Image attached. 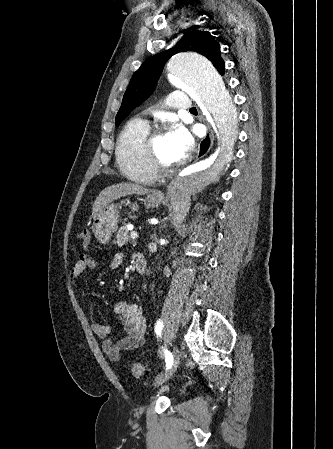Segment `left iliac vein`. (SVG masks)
Masks as SVG:
<instances>
[{"label":"left iliac vein","instance_id":"left-iliac-vein-1","mask_svg":"<svg viewBox=\"0 0 333 449\" xmlns=\"http://www.w3.org/2000/svg\"><path fill=\"white\" fill-rule=\"evenodd\" d=\"M180 359H181V354H180L178 348L174 347L173 348V364L169 369H167L165 372L159 374L155 378L154 383H153V385L155 387H159V386L163 385L165 382H167L170 379V377L176 372V370L179 366V363H180Z\"/></svg>","mask_w":333,"mask_h":449}]
</instances>
